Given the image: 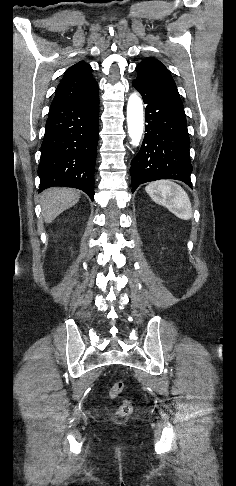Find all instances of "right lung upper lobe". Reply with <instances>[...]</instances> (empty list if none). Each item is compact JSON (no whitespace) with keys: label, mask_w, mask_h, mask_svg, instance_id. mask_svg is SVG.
<instances>
[{"label":"right lung upper lobe","mask_w":236,"mask_h":486,"mask_svg":"<svg viewBox=\"0 0 236 486\" xmlns=\"http://www.w3.org/2000/svg\"><path fill=\"white\" fill-rule=\"evenodd\" d=\"M91 71L90 65L83 61L71 66L57 86L51 107L81 101L97 94L98 84Z\"/></svg>","instance_id":"right-lung-upper-lobe-1"}]
</instances>
